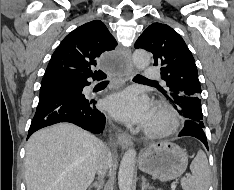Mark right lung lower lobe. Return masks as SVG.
Masks as SVG:
<instances>
[{"label":"right lung lower lobe","mask_w":234,"mask_h":190,"mask_svg":"<svg viewBox=\"0 0 234 190\" xmlns=\"http://www.w3.org/2000/svg\"><path fill=\"white\" fill-rule=\"evenodd\" d=\"M104 79V73L74 74L60 78L40 92L39 103L32 119L27 139L37 130L59 122H70L93 133H102L105 116L96 109V101L82 94L87 81Z\"/></svg>","instance_id":"1"}]
</instances>
